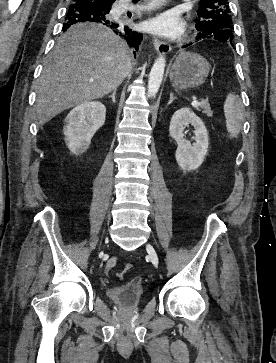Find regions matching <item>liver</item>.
<instances>
[{"mask_svg": "<svg viewBox=\"0 0 276 363\" xmlns=\"http://www.w3.org/2000/svg\"><path fill=\"white\" fill-rule=\"evenodd\" d=\"M131 70L130 50L111 29L95 23L71 26L58 38L38 80L35 110L39 124L108 95Z\"/></svg>", "mask_w": 276, "mask_h": 363, "instance_id": "obj_1", "label": "liver"}]
</instances>
